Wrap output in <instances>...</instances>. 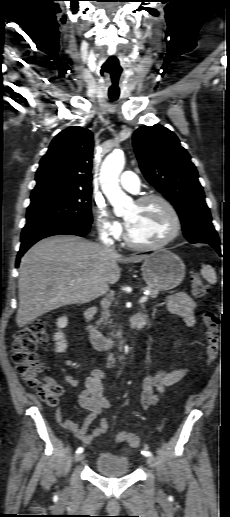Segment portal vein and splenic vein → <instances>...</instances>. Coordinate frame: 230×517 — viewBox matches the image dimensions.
Returning <instances> with one entry per match:
<instances>
[{"instance_id":"obj_1","label":"portal vein and splenic vein","mask_w":230,"mask_h":517,"mask_svg":"<svg viewBox=\"0 0 230 517\" xmlns=\"http://www.w3.org/2000/svg\"><path fill=\"white\" fill-rule=\"evenodd\" d=\"M72 282H73V281H72ZM72 282H71V283H72ZM147 300H148V295H144V296H142V297L140 298L139 302H140V303H144V302H146Z\"/></svg>"}]
</instances>
